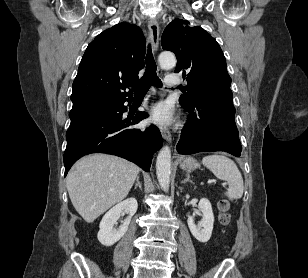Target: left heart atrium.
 Instances as JSON below:
<instances>
[{
	"instance_id": "39dd6f15",
	"label": "left heart atrium",
	"mask_w": 308,
	"mask_h": 278,
	"mask_svg": "<svg viewBox=\"0 0 308 278\" xmlns=\"http://www.w3.org/2000/svg\"><path fill=\"white\" fill-rule=\"evenodd\" d=\"M150 119L159 125H167L173 121V111L165 101L157 103L150 111Z\"/></svg>"
}]
</instances>
